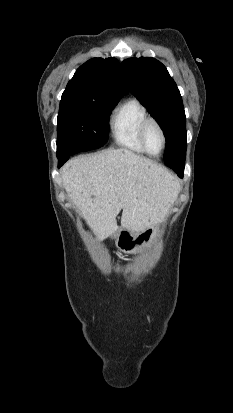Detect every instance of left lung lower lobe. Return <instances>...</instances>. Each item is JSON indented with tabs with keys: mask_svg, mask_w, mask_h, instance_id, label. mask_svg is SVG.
Here are the masks:
<instances>
[{
	"mask_svg": "<svg viewBox=\"0 0 233 413\" xmlns=\"http://www.w3.org/2000/svg\"><path fill=\"white\" fill-rule=\"evenodd\" d=\"M174 171L178 174L179 177H183V173H184V165L180 166V165H176L174 167Z\"/></svg>",
	"mask_w": 233,
	"mask_h": 413,
	"instance_id": "left-lung-lower-lobe-1",
	"label": "left lung lower lobe"
}]
</instances>
